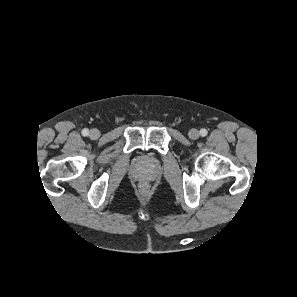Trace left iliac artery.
<instances>
[{
    "mask_svg": "<svg viewBox=\"0 0 297 297\" xmlns=\"http://www.w3.org/2000/svg\"><path fill=\"white\" fill-rule=\"evenodd\" d=\"M200 135H201L202 137L206 136V135H207V130H206V129H201V130H200Z\"/></svg>",
    "mask_w": 297,
    "mask_h": 297,
    "instance_id": "44dca946",
    "label": "left iliac artery"
}]
</instances>
